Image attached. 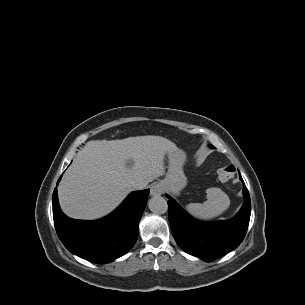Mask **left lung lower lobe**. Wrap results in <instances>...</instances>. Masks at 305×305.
I'll use <instances>...</instances> for the list:
<instances>
[{"instance_id": "left-lung-lower-lobe-1", "label": "left lung lower lobe", "mask_w": 305, "mask_h": 305, "mask_svg": "<svg viewBox=\"0 0 305 305\" xmlns=\"http://www.w3.org/2000/svg\"><path fill=\"white\" fill-rule=\"evenodd\" d=\"M240 179L242 180L241 177ZM243 194L245 201L238 214L232 219L218 222L194 219L174 199L167 196L169 223L177 244L186 253L206 262L234 250L244 239L250 220L251 202L244 182Z\"/></svg>"}]
</instances>
